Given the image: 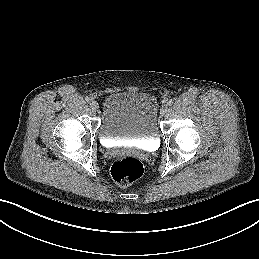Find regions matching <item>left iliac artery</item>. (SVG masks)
Returning a JSON list of instances; mask_svg holds the SVG:
<instances>
[{
  "mask_svg": "<svg viewBox=\"0 0 259 259\" xmlns=\"http://www.w3.org/2000/svg\"><path fill=\"white\" fill-rule=\"evenodd\" d=\"M166 104H167L168 106H171V105L173 104V100H172V99L168 100V101L166 102Z\"/></svg>",
  "mask_w": 259,
  "mask_h": 259,
  "instance_id": "1",
  "label": "left iliac artery"
}]
</instances>
